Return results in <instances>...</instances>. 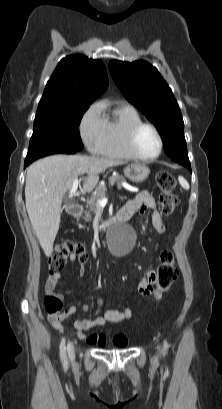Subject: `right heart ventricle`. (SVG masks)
Returning <instances> with one entry per match:
<instances>
[{
  "mask_svg": "<svg viewBox=\"0 0 222 409\" xmlns=\"http://www.w3.org/2000/svg\"><path fill=\"white\" fill-rule=\"evenodd\" d=\"M105 134L98 154L117 160L136 159L126 143L129 130L142 122L139 112L127 104H119L104 117Z\"/></svg>",
  "mask_w": 222,
  "mask_h": 409,
  "instance_id": "e07e8e85",
  "label": "right heart ventricle"
}]
</instances>
